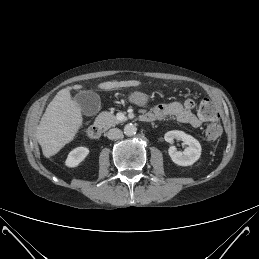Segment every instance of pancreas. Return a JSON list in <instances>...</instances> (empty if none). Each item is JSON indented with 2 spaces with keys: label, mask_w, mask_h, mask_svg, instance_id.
Wrapping results in <instances>:
<instances>
[{
  "label": "pancreas",
  "mask_w": 259,
  "mask_h": 259,
  "mask_svg": "<svg viewBox=\"0 0 259 259\" xmlns=\"http://www.w3.org/2000/svg\"><path fill=\"white\" fill-rule=\"evenodd\" d=\"M95 123L104 129H108L119 124L120 121L112 112L103 111L97 116Z\"/></svg>",
  "instance_id": "pancreas-1"
}]
</instances>
